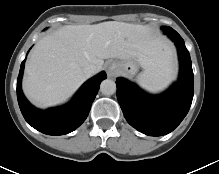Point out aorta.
I'll list each match as a JSON object with an SVG mask.
<instances>
[{
	"label": "aorta",
	"instance_id": "aorta-1",
	"mask_svg": "<svg viewBox=\"0 0 219 174\" xmlns=\"http://www.w3.org/2000/svg\"><path fill=\"white\" fill-rule=\"evenodd\" d=\"M100 91L104 95H113L116 92V83L111 79H105L100 84Z\"/></svg>",
	"mask_w": 219,
	"mask_h": 174
}]
</instances>
